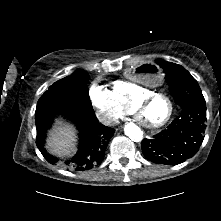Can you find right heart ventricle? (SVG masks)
Here are the masks:
<instances>
[{"instance_id":"e07e8e85","label":"right heart ventricle","mask_w":221,"mask_h":221,"mask_svg":"<svg viewBox=\"0 0 221 221\" xmlns=\"http://www.w3.org/2000/svg\"><path fill=\"white\" fill-rule=\"evenodd\" d=\"M111 92L127 110H131L141 98L153 91L134 81L117 80L112 83Z\"/></svg>"}]
</instances>
